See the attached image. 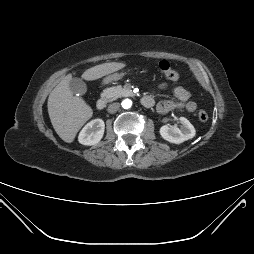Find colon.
Instances as JSON below:
<instances>
[{
    "instance_id": "obj_1",
    "label": "colon",
    "mask_w": 254,
    "mask_h": 254,
    "mask_svg": "<svg viewBox=\"0 0 254 254\" xmlns=\"http://www.w3.org/2000/svg\"><path fill=\"white\" fill-rule=\"evenodd\" d=\"M156 67L168 80L172 82H178L180 80L179 73L170 66L168 61L161 60L156 63ZM198 118L200 121L206 122L208 120V113L205 110H200L198 112Z\"/></svg>"
}]
</instances>
